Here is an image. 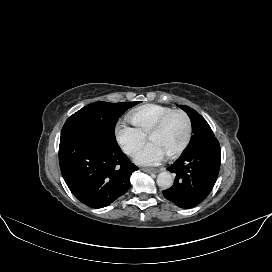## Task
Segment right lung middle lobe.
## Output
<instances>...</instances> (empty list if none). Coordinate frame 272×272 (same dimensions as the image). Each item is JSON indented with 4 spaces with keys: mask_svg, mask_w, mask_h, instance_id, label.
I'll return each mask as SVG.
<instances>
[{
    "mask_svg": "<svg viewBox=\"0 0 272 272\" xmlns=\"http://www.w3.org/2000/svg\"><path fill=\"white\" fill-rule=\"evenodd\" d=\"M138 103L139 101L121 103L95 102L70 116L63 128L70 126L86 127L116 140L115 125L119 117L128 108Z\"/></svg>",
    "mask_w": 272,
    "mask_h": 272,
    "instance_id": "dd1d6c3e",
    "label": "right lung middle lobe"
}]
</instances>
